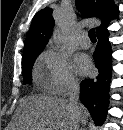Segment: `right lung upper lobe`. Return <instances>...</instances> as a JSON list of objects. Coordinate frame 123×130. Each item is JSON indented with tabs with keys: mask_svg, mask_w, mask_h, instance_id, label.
Listing matches in <instances>:
<instances>
[{
	"mask_svg": "<svg viewBox=\"0 0 123 130\" xmlns=\"http://www.w3.org/2000/svg\"><path fill=\"white\" fill-rule=\"evenodd\" d=\"M76 6L86 17L101 20V26L96 28L97 33L107 29L109 17L116 18L118 15V7L113 0H76ZM54 24L51 8L46 7L36 13L25 40L23 57L42 52L50 39Z\"/></svg>",
	"mask_w": 123,
	"mask_h": 130,
	"instance_id": "1",
	"label": "right lung upper lobe"
}]
</instances>
